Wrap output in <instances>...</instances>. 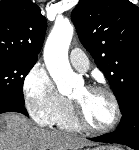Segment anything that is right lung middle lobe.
<instances>
[{
    "mask_svg": "<svg viewBox=\"0 0 139 150\" xmlns=\"http://www.w3.org/2000/svg\"><path fill=\"white\" fill-rule=\"evenodd\" d=\"M37 60L0 53V96L24 102L23 83Z\"/></svg>",
    "mask_w": 139,
    "mask_h": 150,
    "instance_id": "dd1d6c3e",
    "label": "right lung middle lobe"
}]
</instances>
